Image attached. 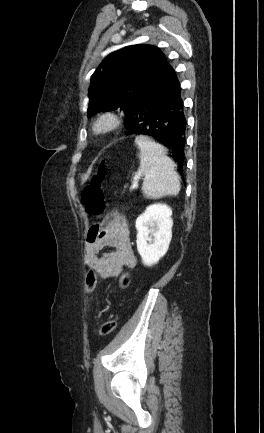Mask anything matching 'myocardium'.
I'll use <instances>...</instances> for the list:
<instances>
[{
  "instance_id": "obj_1",
  "label": "myocardium",
  "mask_w": 264,
  "mask_h": 433,
  "mask_svg": "<svg viewBox=\"0 0 264 433\" xmlns=\"http://www.w3.org/2000/svg\"><path fill=\"white\" fill-rule=\"evenodd\" d=\"M120 124V116L115 112L107 111L92 121L90 132L95 137H103L117 130Z\"/></svg>"
}]
</instances>
